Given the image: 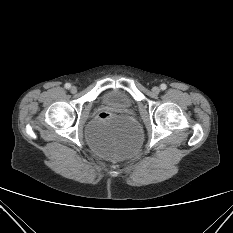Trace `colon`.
Instances as JSON below:
<instances>
[{"mask_svg": "<svg viewBox=\"0 0 233 233\" xmlns=\"http://www.w3.org/2000/svg\"><path fill=\"white\" fill-rule=\"evenodd\" d=\"M108 116H109V114H108V113H105V112H103V113H101V114L99 115V117H100L101 119H106V118H108Z\"/></svg>", "mask_w": 233, "mask_h": 233, "instance_id": "colon-1", "label": "colon"}]
</instances>
